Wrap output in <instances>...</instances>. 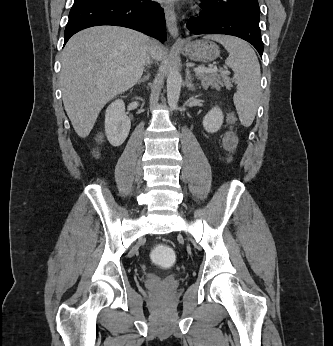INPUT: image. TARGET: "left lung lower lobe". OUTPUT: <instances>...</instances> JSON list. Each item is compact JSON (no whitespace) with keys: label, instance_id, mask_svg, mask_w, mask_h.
Segmentation results:
<instances>
[{"label":"left lung lower lobe","instance_id":"0a47b994","mask_svg":"<svg viewBox=\"0 0 333 346\" xmlns=\"http://www.w3.org/2000/svg\"><path fill=\"white\" fill-rule=\"evenodd\" d=\"M201 7L203 11L200 15L187 21L186 28L191 34L237 36L251 43L262 57L263 43L259 22L242 15L233 14L219 5L206 1H202Z\"/></svg>","mask_w":333,"mask_h":346}]
</instances>
